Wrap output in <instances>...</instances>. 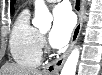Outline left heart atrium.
<instances>
[{
    "instance_id": "1",
    "label": "left heart atrium",
    "mask_w": 102,
    "mask_h": 75,
    "mask_svg": "<svg viewBox=\"0 0 102 75\" xmlns=\"http://www.w3.org/2000/svg\"><path fill=\"white\" fill-rule=\"evenodd\" d=\"M54 21L49 34V40L53 47L62 48L70 40L74 26L75 18L70 8L61 4L54 9Z\"/></svg>"
}]
</instances>
